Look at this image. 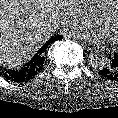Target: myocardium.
I'll return each mask as SVG.
<instances>
[{"label": "myocardium", "mask_w": 118, "mask_h": 118, "mask_svg": "<svg viewBox=\"0 0 118 118\" xmlns=\"http://www.w3.org/2000/svg\"><path fill=\"white\" fill-rule=\"evenodd\" d=\"M117 3H118V0L110 1L108 6L105 9H103L98 15H96L94 17V20L97 23H99V24L103 23L104 21H106L111 16V14L113 13L115 5ZM111 44L113 46H117L118 47V41H111Z\"/></svg>", "instance_id": "obj_1"}]
</instances>
